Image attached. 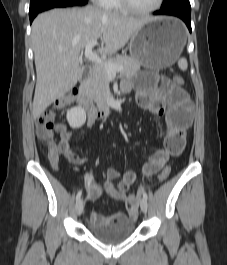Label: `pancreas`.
<instances>
[{
  "label": "pancreas",
  "mask_w": 227,
  "mask_h": 265,
  "mask_svg": "<svg viewBox=\"0 0 227 265\" xmlns=\"http://www.w3.org/2000/svg\"><path fill=\"white\" fill-rule=\"evenodd\" d=\"M105 62L123 67L121 75L131 77L140 70V64L132 57L126 55H117L107 59ZM89 95L98 105H102L107 96L110 95L109 74L102 65H94L91 77L87 84Z\"/></svg>",
  "instance_id": "cf45deb5"
}]
</instances>
